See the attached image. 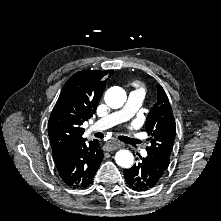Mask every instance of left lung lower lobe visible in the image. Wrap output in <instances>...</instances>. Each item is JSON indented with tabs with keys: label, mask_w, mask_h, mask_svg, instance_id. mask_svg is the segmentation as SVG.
Wrapping results in <instances>:
<instances>
[{
	"label": "left lung lower lobe",
	"mask_w": 221,
	"mask_h": 221,
	"mask_svg": "<svg viewBox=\"0 0 221 221\" xmlns=\"http://www.w3.org/2000/svg\"><path fill=\"white\" fill-rule=\"evenodd\" d=\"M169 163L148 154L138 165L124 169L127 184L135 191H146L155 187L166 173Z\"/></svg>",
	"instance_id": "left-lung-lower-lobe-1"
}]
</instances>
